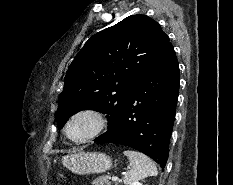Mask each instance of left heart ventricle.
<instances>
[{
    "label": "left heart ventricle",
    "instance_id": "obj_1",
    "mask_svg": "<svg viewBox=\"0 0 233 185\" xmlns=\"http://www.w3.org/2000/svg\"><path fill=\"white\" fill-rule=\"evenodd\" d=\"M95 126L96 122L91 116H79L72 121L69 134L73 139H82L89 135Z\"/></svg>",
    "mask_w": 233,
    "mask_h": 185
}]
</instances>
